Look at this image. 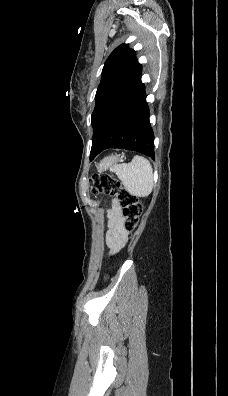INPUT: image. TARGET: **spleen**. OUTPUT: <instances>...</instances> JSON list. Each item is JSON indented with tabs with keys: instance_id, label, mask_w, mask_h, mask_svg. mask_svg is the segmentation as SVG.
<instances>
[{
	"instance_id": "spleen-1",
	"label": "spleen",
	"mask_w": 228,
	"mask_h": 396,
	"mask_svg": "<svg viewBox=\"0 0 228 396\" xmlns=\"http://www.w3.org/2000/svg\"><path fill=\"white\" fill-rule=\"evenodd\" d=\"M111 169L131 195L146 197L152 192L154 185L153 169L147 159L134 156L130 163L115 165Z\"/></svg>"
}]
</instances>
